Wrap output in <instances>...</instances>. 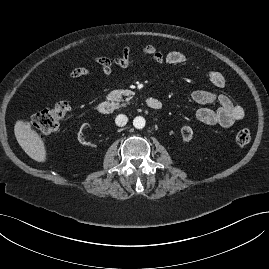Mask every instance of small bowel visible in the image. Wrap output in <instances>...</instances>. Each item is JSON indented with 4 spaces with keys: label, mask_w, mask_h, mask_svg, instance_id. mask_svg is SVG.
Returning <instances> with one entry per match:
<instances>
[{
    "label": "small bowel",
    "mask_w": 269,
    "mask_h": 269,
    "mask_svg": "<svg viewBox=\"0 0 269 269\" xmlns=\"http://www.w3.org/2000/svg\"><path fill=\"white\" fill-rule=\"evenodd\" d=\"M93 60L99 65L103 76L106 78L112 74L115 67H133L139 60H145L154 64L167 63L169 65H182L186 63V57L181 52L170 51L168 53H162L151 44L145 46L138 54H134L132 48L126 45L122 49L121 54L117 57H95ZM90 73V68L76 67L70 71V76L72 78H80ZM208 78L217 88L225 86L226 80L220 71H210ZM191 99L194 103L199 105L218 104L216 109L202 107L197 110V120L206 125H218L227 128L240 121L245 116L244 108L241 105L233 103L231 98L226 94L196 90L192 92Z\"/></svg>",
    "instance_id": "obj_1"
}]
</instances>
